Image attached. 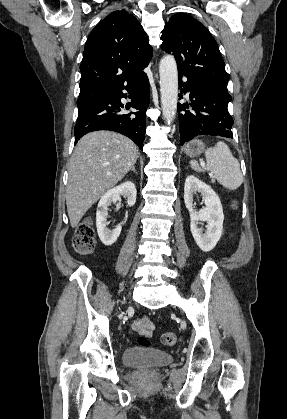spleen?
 Wrapping results in <instances>:
<instances>
[{"mask_svg": "<svg viewBox=\"0 0 287 419\" xmlns=\"http://www.w3.org/2000/svg\"><path fill=\"white\" fill-rule=\"evenodd\" d=\"M206 167H200L196 160L190 161V166L197 172L204 169L211 171L214 178L226 189L236 190L243 182V175L238 160L231 153L228 145L222 141L205 151Z\"/></svg>", "mask_w": 287, "mask_h": 419, "instance_id": "3e777b00", "label": "spleen"}]
</instances>
